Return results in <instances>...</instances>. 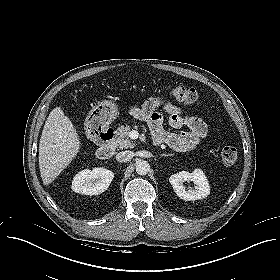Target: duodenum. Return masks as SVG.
Listing matches in <instances>:
<instances>
[{"label": "duodenum", "mask_w": 280, "mask_h": 280, "mask_svg": "<svg viewBox=\"0 0 280 280\" xmlns=\"http://www.w3.org/2000/svg\"><path fill=\"white\" fill-rule=\"evenodd\" d=\"M115 137L116 131L112 126H108L98 131V133L95 135V138L99 142V146L96 152V156L98 159L106 160L110 159L114 155ZM161 143V140L157 138L154 139L155 146H159Z\"/></svg>", "instance_id": "duodenum-1"}]
</instances>
